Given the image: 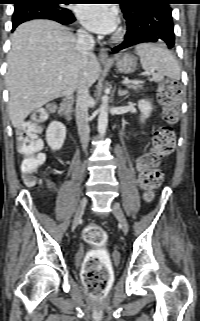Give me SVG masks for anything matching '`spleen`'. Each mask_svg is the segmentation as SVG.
Here are the masks:
<instances>
[{
	"label": "spleen",
	"mask_w": 200,
	"mask_h": 321,
	"mask_svg": "<svg viewBox=\"0 0 200 321\" xmlns=\"http://www.w3.org/2000/svg\"><path fill=\"white\" fill-rule=\"evenodd\" d=\"M140 57L141 66L145 71H157L156 80L167 76L180 80L181 69L176 57L164 45L141 43L135 47Z\"/></svg>",
	"instance_id": "3e777b00"
}]
</instances>
